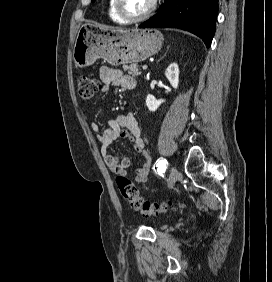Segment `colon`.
Instances as JSON below:
<instances>
[{"label": "colon", "instance_id": "obj_1", "mask_svg": "<svg viewBox=\"0 0 272 282\" xmlns=\"http://www.w3.org/2000/svg\"><path fill=\"white\" fill-rule=\"evenodd\" d=\"M77 88L81 100L91 101L95 94L102 88V85L96 78L81 75L78 77ZM116 182L123 199L133 209L145 216H152L166 212L171 206L170 202L152 203L144 201L140 196L137 187L126 177V175L118 174Z\"/></svg>", "mask_w": 272, "mask_h": 282}]
</instances>
